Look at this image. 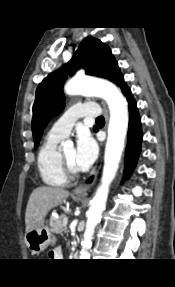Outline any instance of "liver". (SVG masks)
<instances>
[{"label":"liver","instance_id":"obj_1","mask_svg":"<svg viewBox=\"0 0 175 287\" xmlns=\"http://www.w3.org/2000/svg\"><path fill=\"white\" fill-rule=\"evenodd\" d=\"M69 196V191L50 186H40L31 193L25 212L26 232L43 222L48 211L57 207Z\"/></svg>","mask_w":175,"mask_h":287}]
</instances>
